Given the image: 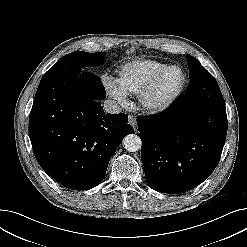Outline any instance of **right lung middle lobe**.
Segmentation results:
<instances>
[{
    "instance_id": "right-lung-middle-lobe-1",
    "label": "right lung middle lobe",
    "mask_w": 247,
    "mask_h": 247,
    "mask_svg": "<svg viewBox=\"0 0 247 247\" xmlns=\"http://www.w3.org/2000/svg\"><path fill=\"white\" fill-rule=\"evenodd\" d=\"M104 58V52L88 53L75 51L65 55L60 61L53 65L44 76L70 69L86 70L88 67L100 65L104 61Z\"/></svg>"
}]
</instances>
